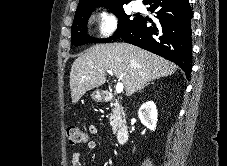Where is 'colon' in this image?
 <instances>
[{"mask_svg": "<svg viewBox=\"0 0 227 166\" xmlns=\"http://www.w3.org/2000/svg\"><path fill=\"white\" fill-rule=\"evenodd\" d=\"M68 143L75 147L84 144L88 140L87 133L77 125H69L66 130Z\"/></svg>", "mask_w": 227, "mask_h": 166, "instance_id": "5ec220e1", "label": "colon"}]
</instances>
